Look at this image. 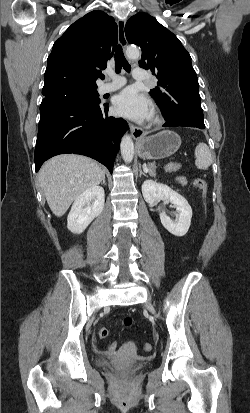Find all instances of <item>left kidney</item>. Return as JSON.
I'll use <instances>...</instances> for the list:
<instances>
[{"instance_id": "1", "label": "left kidney", "mask_w": 250, "mask_h": 413, "mask_svg": "<svg viewBox=\"0 0 250 413\" xmlns=\"http://www.w3.org/2000/svg\"><path fill=\"white\" fill-rule=\"evenodd\" d=\"M142 194L149 204H157L160 200L169 201L174 205L179 213L178 218L173 221L164 212L160 213L162 225L171 234L184 236L190 227L192 209L188 201L166 184H161L153 180H146L142 184Z\"/></svg>"}]
</instances>
